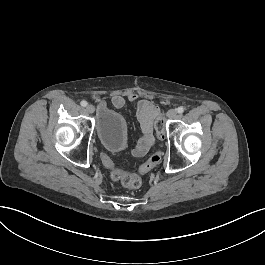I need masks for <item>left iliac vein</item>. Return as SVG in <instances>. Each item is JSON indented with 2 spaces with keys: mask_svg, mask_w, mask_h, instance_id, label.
I'll return each instance as SVG.
<instances>
[{
  "mask_svg": "<svg viewBox=\"0 0 265 265\" xmlns=\"http://www.w3.org/2000/svg\"><path fill=\"white\" fill-rule=\"evenodd\" d=\"M167 117L170 118V119L176 118L177 117V111L175 109H170L167 112Z\"/></svg>",
  "mask_w": 265,
  "mask_h": 265,
  "instance_id": "4c4485c4",
  "label": "left iliac vein"
}]
</instances>
